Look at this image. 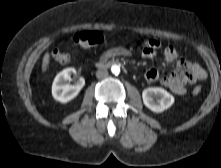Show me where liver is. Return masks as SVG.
Instances as JSON below:
<instances>
[{
    "label": "liver",
    "instance_id": "obj_1",
    "mask_svg": "<svg viewBox=\"0 0 221 168\" xmlns=\"http://www.w3.org/2000/svg\"><path fill=\"white\" fill-rule=\"evenodd\" d=\"M50 63V53L46 52L42 61V72L45 73Z\"/></svg>",
    "mask_w": 221,
    "mask_h": 168
}]
</instances>
